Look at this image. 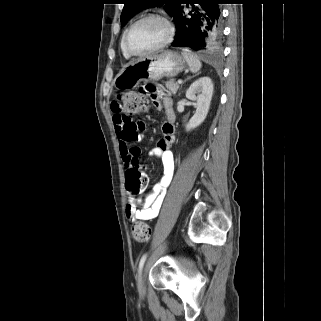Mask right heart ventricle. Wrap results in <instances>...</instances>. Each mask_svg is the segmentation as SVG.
I'll return each mask as SVG.
<instances>
[{"label": "right heart ventricle", "instance_id": "1", "mask_svg": "<svg viewBox=\"0 0 321 321\" xmlns=\"http://www.w3.org/2000/svg\"><path fill=\"white\" fill-rule=\"evenodd\" d=\"M121 50L125 58H129L130 56L124 51L123 45H122V40H121Z\"/></svg>", "mask_w": 321, "mask_h": 321}]
</instances>
